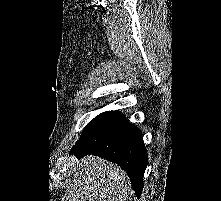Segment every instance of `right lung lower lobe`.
Wrapping results in <instances>:
<instances>
[{
	"mask_svg": "<svg viewBox=\"0 0 221 201\" xmlns=\"http://www.w3.org/2000/svg\"><path fill=\"white\" fill-rule=\"evenodd\" d=\"M71 153L78 157L93 154L120 165L140 197L148 155L140 130L119 111L104 112L91 120Z\"/></svg>",
	"mask_w": 221,
	"mask_h": 201,
	"instance_id": "obj_1",
	"label": "right lung lower lobe"
}]
</instances>
